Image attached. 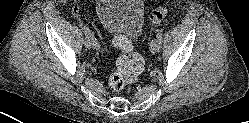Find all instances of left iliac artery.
<instances>
[{"label": "left iliac artery", "mask_w": 249, "mask_h": 123, "mask_svg": "<svg viewBox=\"0 0 249 123\" xmlns=\"http://www.w3.org/2000/svg\"><path fill=\"white\" fill-rule=\"evenodd\" d=\"M162 35H163L162 29H158L156 38L158 39L159 48L161 47V43H162Z\"/></svg>", "instance_id": "obj_1"}]
</instances>
